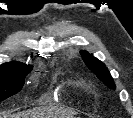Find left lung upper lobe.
Instances as JSON below:
<instances>
[{
	"mask_svg": "<svg viewBox=\"0 0 133 118\" xmlns=\"http://www.w3.org/2000/svg\"><path fill=\"white\" fill-rule=\"evenodd\" d=\"M81 56L86 66L94 73L96 76L109 88L116 89L114 81L108 71L107 67H105L104 63L99 61L97 58L93 57L92 54H89L85 50H82Z\"/></svg>",
	"mask_w": 133,
	"mask_h": 118,
	"instance_id": "left-lung-upper-lobe-1",
	"label": "left lung upper lobe"
}]
</instances>
